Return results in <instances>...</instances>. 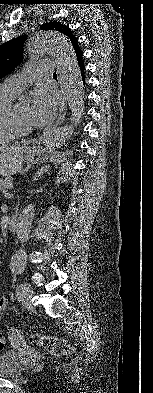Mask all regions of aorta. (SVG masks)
I'll return each mask as SVG.
<instances>
[{
	"instance_id": "aorta-1",
	"label": "aorta",
	"mask_w": 153,
	"mask_h": 393,
	"mask_svg": "<svg viewBox=\"0 0 153 393\" xmlns=\"http://www.w3.org/2000/svg\"><path fill=\"white\" fill-rule=\"evenodd\" d=\"M26 53L30 57L52 55L57 65V76L72 112L70 125L52 128L48 130L43 143L47 146L56 147L64 144L72 134L76 125L81 122V116L85 110L84 89L80 68L77 62L75 50L71 42L62 34L55 31H39L32 35L26 43ZM35 215V205L26 206L17 221L16 235L23 240L21 245L26 247L30 228ZM27 254L18 249L12 256L11 269L21 272L25 268Z\"/></svg>"
}]
</instances>
